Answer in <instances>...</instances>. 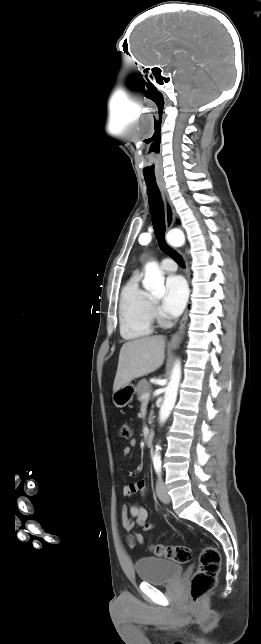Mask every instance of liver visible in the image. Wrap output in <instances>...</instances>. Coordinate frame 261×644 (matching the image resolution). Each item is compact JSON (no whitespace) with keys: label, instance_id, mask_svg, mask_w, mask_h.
I'll list each match as a JSON object with an SVG mask.
<instances>
[{"label":"liver","instance_id":"obj_1","mask_svg":"<svg viewBox=\"0 0 261 644\" xmlns=\"http://www.w3.org/2000/svg\"><path fill=\"white\" fill-rule=\"evenodd\" d=\"M164 351L165 339L162 336L143 337L124 343L119 353L113 392L157 370L164 362Z\"/></svg>","mask_w":261,"mask_h":644}]
</instances>
